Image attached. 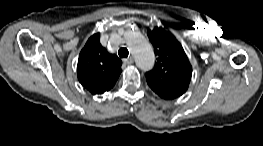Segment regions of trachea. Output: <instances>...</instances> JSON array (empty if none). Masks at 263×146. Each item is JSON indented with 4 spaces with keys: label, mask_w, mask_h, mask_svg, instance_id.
Listing matches in <instances>:
<instances>
[{
    "label": "trachea",
    "mask_w": 263,
    "mask_h": 146,
    "mask_svg": "<svg viewBox=\"0 0 263 146\" xmlns=\"http://www.w3.org/2000/svg\"><path fill=\"white\" fill-rule=\"evenodd\" d=\"M118 55L120 56V58H127L129 55V52L127 48H120L118 51Z\"/></svg>",
    "instance_id": "trachea-1"
}]
</instances>
